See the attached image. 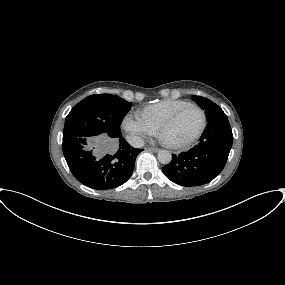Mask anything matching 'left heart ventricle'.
I'll list each match as a JSON object with an SVG mask.
<instances>
[{
	"label": "left heart ventricle",
	"instance_id": "left-heart-ventricle-1",
	"mask_svg": "<svg viewBox=\"0 0 285 285\" xmlns=\"http://www.w3.org/2000/svg\"><path fill=\"white\" fill-rule=\"evenodd\" d=\"M202 124V115L196 108H187L177 121L166 130L164 136L172 142H180L193 136Z\"/></svg>",
	"mask_w": 285,
	"mask_h": 285
}]
</instances>
